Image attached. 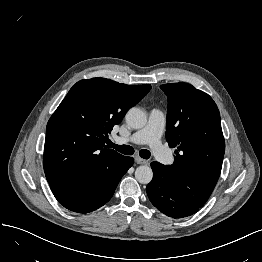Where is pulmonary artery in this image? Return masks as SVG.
I'll return each instance as SVG.
<instances>
[{
  "label": "pulmonary artery",
  "mask_w": 262,
  "mask_h": 262,
  "mask_svg": "<svg viewBox=\"0 0 262 262\" xmlns=\"http://www.w3.org/2000/svg\"><path fill=\"white\" fill-rule=\"evenodd\" d=\"M165 124L166 116L164 112L154 108L150 111L147 124L142 129L136 131L131 136L117 138V142L119 144H147L161 163L170 164L172 162V156L168 153L161 141Z\"/></svg>",
  "instance_id": "e3ab8cb5"
}]
</instances>
